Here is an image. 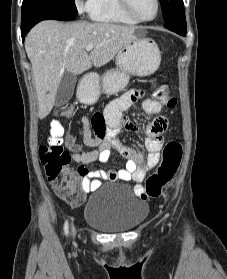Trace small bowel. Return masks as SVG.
<instances>
[{
	"label": "small bowel",
	"mask_w": 227,
	"mask_h": 279,
	"mask_svg": "<svg viewBox=\"0 0 227 279\" xmlns=\"http://www.w3.org/2000/svg\"><path fill=\"white\" fill-rule=\"evenodd\" d=\"M143 97V91L132 89L123 93L111 101L104 110V131L92 132L93 120L83 115L80 119L83 128V141L90 151L75 150L71 153L74 162L79 163L76 174L82 177L81 186L84 192L94 191L101 185L102 181H133L136 182L135 192L142 190L140 183L145 178L147 171L156 166L160 160L159 151L163 144V134L167 131L169 120L158 116L161 104L155 99H147L143 102V111L148 115H155L154 120L146 129V147L148 155L143 163L140 154L125 145L116 137L120 126L129 131H138V126L123 117V112L128 110L133 103ZM54 129V127H52ZM73 147H76L72 145ZM118 151L125 159L126 166L121 169H95L88 170L85 165L94 161L108 163L111 155L110 150ZM74 174V173H73Z\"/></svg>",
	"instance_id": "c3829d8e"
}]
</instances>
